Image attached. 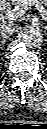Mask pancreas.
<instances>
[{"label":"pancreas","instance_id":"1","mask_svg":"<svg viewBox=\"0 0 47 129\" xmlns=\"http://www.w3.org/2000/svg\"><path fill=\"white\" fill-rule=\"evenodd\" d=\"M24 1H25V0H12V4H13L14 6H17V5H21ZM37 1H38V0H37ZM40 1H42V3L45 4L47 0H40Z\"/></svg>","mask_w":47,"mask_h":129}]
</instances>
